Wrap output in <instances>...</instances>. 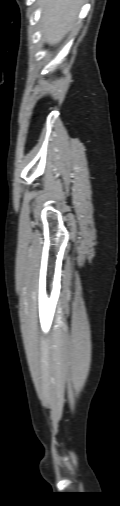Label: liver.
<instances>
[{"label":"liver","mask_w":120,"mask_h":506,"mask_svg":"<svg viewBox=\"0 0 120 506\" xmlns=\"http://www.w3.org/2000/svg\"><path fill=\"white\" fill-rule=\"evenodd\" d=\"M43 7V37L49 45L58 44L76 24L83 0H40Z\"/></svg>","instance_id":"liver-1"}]
</instances>
